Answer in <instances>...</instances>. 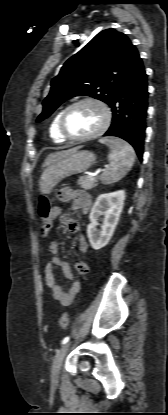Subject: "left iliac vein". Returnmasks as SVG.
<instances>
[{
    "instance_id": "left-iliac-vein-1",
    "label": "left iliac vein",
    "mask_w": 168,
    "mask_h": 415,
    "mask_svg": "<svg viewBox=\"0 0 168 415\" xmlns=\"http://www.w3.org/2000/svg\"><path fill=\"white\" fill-rule=\"evenodd\" d=\"M70 343L67 342L66 344H64L61 349L58 351L53 365H52V369H51V379L53 382H56L59 379V374H60V369L62 366V362L63 359L69 349Z\"/></svg>"
}]
</instances>
